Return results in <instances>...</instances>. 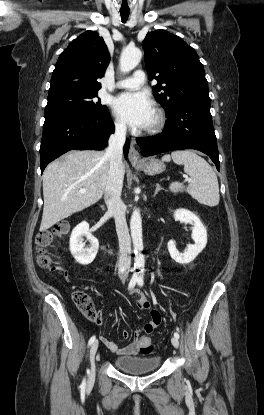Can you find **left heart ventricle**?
Returning a JSON list of instances; mask_svg holds the SVG:
<instances>
[{
  "label": "left heart ventricle",
  "mask_w": 264,
  "mask_h": 415,
  "mask_svg": "<svg viewBox=\"0 0 264 415\" xmlns=\"http://www.w3.org/2000/svg\"><path fill=\"white\" fill-rule=\"evenodd\" d=\"M154 118H155V115H153V117H152L151 121L149 122V125L153 123ZM149 125H148V126H149Z\"/></svg>",
  "instance_id": "left-heart-ventricle-1"
}]
</instances>
